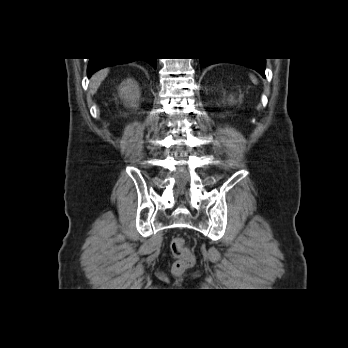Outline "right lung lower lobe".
Masks as SVG:
<instances>
[{
	"label": "right lung lower lobe",
	"instance_id": "obj_1",
	"mask_svg": "<svg viewBox=\"0 0 348 348\" xmlns=\"http://www.w3.org/2000/svg\"><path fill=\"white\" fill-rule=\"evenodd\" d=\"M133 60H126V59H90L88 68H87V73L88 77L90 78L91 75L104 68L107 66H112L116 64H121V63H129L132 62ZM146 62H148L153 68L156 69V58H149L145 59Z\"/></svg>",
	"mask_w": 348,
	"mask_h": 348
}]
</instances>
